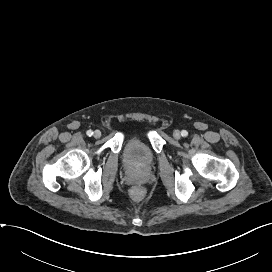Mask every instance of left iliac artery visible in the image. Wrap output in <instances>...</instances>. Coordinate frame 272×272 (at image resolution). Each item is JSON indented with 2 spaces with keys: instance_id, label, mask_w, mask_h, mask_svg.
<instances>
[{
  "instance_id": "1",
  "label": "left iliac artery",
  "mask_w": 272,
  "mask_h": 272,
  "mask_svg": "<svg viewBox=\"0 0 272 272\" xmlns=\"http://www.w3.org/2000/svg\"><path fill=\"white\" fill-rule=\"evenodd\" d=\"M181 135H182L183 137H186V136L188 135V132H187L186 130H182V131H181Z\"/></svg>"
}]
</instances>
